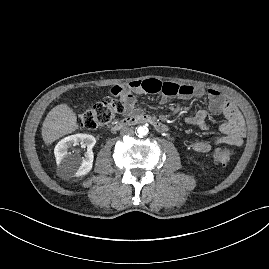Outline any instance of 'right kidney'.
Instances as JSON below:
<instances>
[{
  "instance_id": "ca27d5eb",
  "label": "right kidney",
  "mask_w": 269,
  "mask_h": 269,
  "mask_svg": "<svg viewBox=\"0 0 269 269\" xmlns=\"http://www.w3.org/2000/svg\"><path fill=\"white\" fill-rule=\"evenodd\" d=\"M79 143L82 147H87L85 157L68 152V148ZM95 143V138L88 134H75L62 139L54 149L60 172L64 176H83L89 173L93 166L92 148Z\"/></svg>"
}]
</instances>
